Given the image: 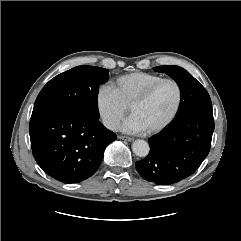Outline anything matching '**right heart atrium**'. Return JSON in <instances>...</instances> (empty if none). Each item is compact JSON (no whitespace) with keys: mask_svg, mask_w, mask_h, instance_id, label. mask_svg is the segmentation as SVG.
<instances>
[{"mask_svg":"<svg viewBox=\"0 0 241 241\" xmlns=\"http://www.w3.org/2000/svg\"><path fill=\"white\" fill-rule=\"evenodd\" d=\"M96 105L103 124L111 130L118 127L128 107L109 85L101 86L96 94Z\"/></svg>","mask_w":241,"mask_h":241,"instance_id":"right-heart-atrium-1","label":"right heart atrium"}]
</instances>
